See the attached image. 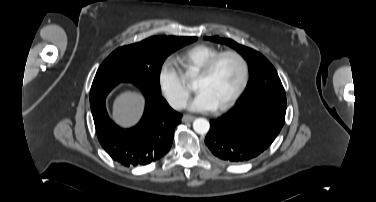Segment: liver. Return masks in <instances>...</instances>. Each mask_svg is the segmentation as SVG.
I'll list each match as a JSON object with an SVG mask.
<instances>
[{
  "mask_svg": "<svg viewBox=\"0 0 376 202\" xmlns=\"http://www.w3.org/2000/svg\"><path fill=\"white\" fill-rule=\"evenodd\" d=\"M144 109V98L137 92H123L113 103L112 117L120 127L129 129L140 120Z\"/></svg>",
  "mask_w": 376,
  "mask_h": 202,
  "instance_id": "6515ba94",
  "label": "liver"
}]
</instances>
